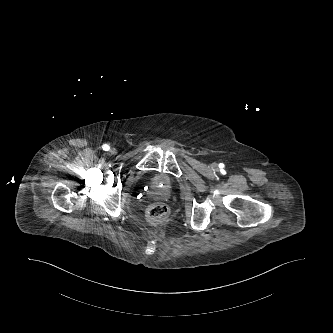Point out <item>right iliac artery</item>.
<instances>
[{
  "instance_id": "right-iliac-artery-1",
  "label": "right iliac artery",
  "mask_w": 333,
  "mask_h": 333,
  "mask_svg": "<svg viewBox=\"0 0 333 333\" xmlns=\"http://www.w3.org/2000/svg\"><path fill=\"white\" fill-rule=\"evenodd\" d=\"M102 148L104 151H108L110 147L108 144H103Z\"/></svg>"
}]
</instances>
